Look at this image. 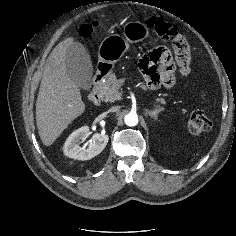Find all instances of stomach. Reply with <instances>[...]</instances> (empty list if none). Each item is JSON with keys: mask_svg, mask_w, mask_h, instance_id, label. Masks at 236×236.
Instances as JSON below:
<instances>
[{"mask_svg": "<svg viewBox=\"0 0 236 236\" xmlns=\"http://www.w3.org/2000/svg\"><path fill=\"white\" fill-rule=\"evenodd\" d=\"M148 37L149 29L144 23L140 21L125 23L123 35L112 34L101 42L98 51L100 65L110 70L129 49L130 43L141 42Z\"/></svg>", "mask_w": 236, "mask_h": 236, "instance_id": "obj_1", "label": "stomach"}]
</instances>
